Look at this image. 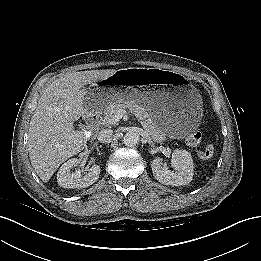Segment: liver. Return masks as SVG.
Here are the masks:
<instances>
[{
	"label": "liver",
	"instance_id": "obj_1",
	"mask_svg": "<svg viewBox=\"0 0 261 261\" xmlns=\"http://www.w3.org/2000/svg\"><path fill=\"white\" fill-rule=\"evenodd\" d=\"M115 73L114 69L72 72L43 90L28 133L29 158L43 182H48L64 161L86 145V133L73 126L87 111L84 101L88 90L84 86H94Z\"/></svg>",
	"mask_w": 261,
	"mask_h": 261
}]
</instances>
